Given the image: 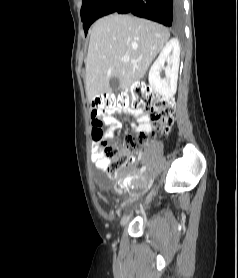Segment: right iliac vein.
I'll list each match as a JSON object with an SVG mask.
<instances>
[{"label":"right iliac vein","mask_w":238,"mask_h":278,"mask_svg":"<svg viewBox=\"0 0 238 278\" xmlns=\"http://www.w3.org/2000/svg\"><path fill=\"white\" fill-rule=\"evenodd\" d=\"M155 180L156 177L155 175H151V179H149V181H147V186H145L146 192H144V195H147V192H149V189H152L153 184H155ZM138 199V197L136 196H131L127 199V201L124 203V207L133 204L136 200Z\"/></svg>","instance_id":"63e3f726"}]
</instances>
